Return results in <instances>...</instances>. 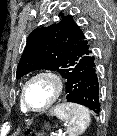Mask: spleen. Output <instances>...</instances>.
I'll use <instances>...</instances> for the list:
<instances>
[{"label": "spleen", "instance_id": "3e777b00", "mask_svg": "<svg viewBox=\"0 0 117 136\" xmlns=\"http://www.w3.org/2000/svg\"><path fill=\"white\" fill-rule=\"evenodd\" d=\"M51 115L56 116L66 123L69 136H78L90 124L89 110L76 103H62L57 105L51 111Z\"/></svg>", "mask_w": 117, "mask_h": 136}]
</instances>
